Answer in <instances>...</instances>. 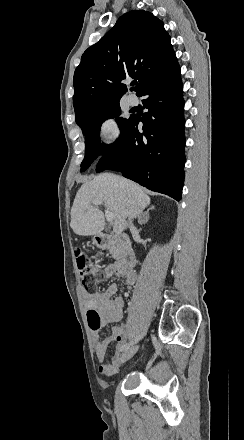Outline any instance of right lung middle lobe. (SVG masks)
I'll list each match as a JSON object with an SVG mask.
<instances>
[{
	"label": "right lung middle lobe",
	"instance_id": "dd1d6c3e",
	"mask_svg": "<svg viewBox=\"0 0 244 440\" xmlns=\"http://www.w3.org/2000/svg\"><path fill=\"white\" fill-rule=\"evenodd\" d=\"M119 100L120 99L107 100L90 108L75 110L76 123L81 127L86 136L85 157L81 163V172L88 169L99 155H103L112 147L113 144L106 145L100 143L99 132L101 124L105 119L120 115ZM128 120L129 119L125 118L117 119L121 132L125 128Z\"/></svg>",
	"mask_w": 244,
	"mask_h": 440
}]
</instances>
